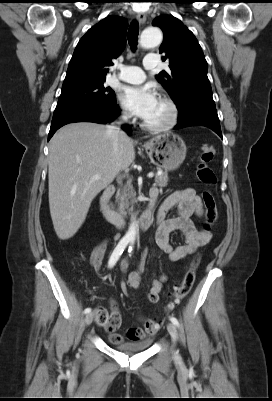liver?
<instances>
[{
  "label": "liver",
  "mask_w": 272,
  "mask_h": 401,
  "mask_svg": "<svg viewBox=\"0 0 272 401\" xmlns=\"http://www.w3.org/2000/svg\"><path fill=\"white\" fill-rule=\"evenodd\" d=\"M107 125L79 122L59 129L49 143V208L57 236L73 237L92 200L135 159L132 139L119 140L113 152ZM100 178L95 179L94 176Z\"/></svg>",
  "instance_id": "liver-1"
}]
</instances>
